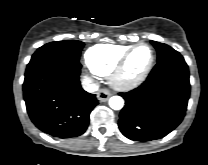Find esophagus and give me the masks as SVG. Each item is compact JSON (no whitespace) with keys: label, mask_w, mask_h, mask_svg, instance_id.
<instances>
[{"label":"esophagus","mask_w":208,"mask_h":165,"mask_svg":"<svg viewBox=\"0 0 208 165\" xmlns=\"http://www.w3.org/2000/svg\"><path fill=\"white\" fill-rule=\"evenodd\" d=\"M97 96L101 102H105L111 96V93L107 89H100L97 93Z\"/></svg>","instance_id":"esophagus-1"}]
</instances>
